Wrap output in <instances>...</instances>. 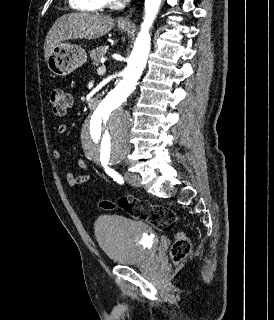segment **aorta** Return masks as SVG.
<instances>
[{
	"instance_id": "aorta-1",
	"label": "aorta",
	"mask_w": 274,
	"mask_h": 320,
	"mask_svg": "<svg viewBox=\"0 0 274 320\" xmlns=\"http://www.w3.org/2000/svg\"><path fill=\"white\" fill-rule=\"evenodd\" d=\"M162 0H145V16L122 79L101 101L81 133L83 150L94 162L124 159L130 148L131 117L124 109L127 98L137 85L151 48L149 29Z\"/></svg>"
}]
</instances>
